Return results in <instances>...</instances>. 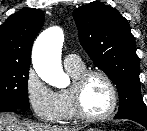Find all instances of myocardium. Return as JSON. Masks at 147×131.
I'll list each match as a JSON object with an SVG mask.
<instances>
[{"label":"myocardium","mask_w":147,"mask_h":131,"mask_svg":"<svg viewBox=\"0 0 147 131\" xmlns=\"http://www.w3.org/2000/svg\"><path fill=\"white\" fill-rule=\"evenodd\" d=\"M93 76L101 77L108 85L111 94V103L109 108L100 115L87 114L82 106V88L85 82ZM69 94L75 116L86 122H98L109 118L115 112L119 100L118 91L112 78L104 71L98 69L84 70L73 78L72 84L69 88Z\"/></svg>","instance_id":"1"}]
</instances>
